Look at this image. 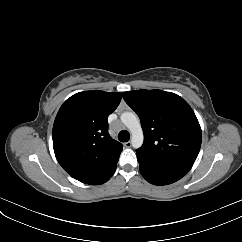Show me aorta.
<instances>
[{
    "mask_svg": "<svg viewBox=\"0 0 242 242\" xmlns=\"http://www.w3.org/2000/svg\"><path fill=\"white\" fill-rule=\"evenodd\" d=\"M122 123L131 132V144L134 148H140L144 141L143 130L135 113L124 112L121 114Z\"/></svg>",
    "mask_w": 242,
    "mask_h": 242,
    "instance_id": "aorta-1",
    "label": "aorta"
}]
</instances>
